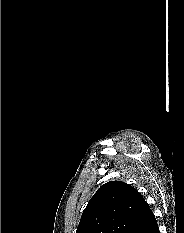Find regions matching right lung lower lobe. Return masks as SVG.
Instances as JSON below:
<instances>
[{
	"label": "right lung lower lobe",
	"instance_id": "1",
	"mask_svg": "<svg viewBox=\"0 0 184 233\" xmlns=\"http://www.w3.org/2000/svg\"><path fill=\"white\" fill-rule=\"evenodd\" d=\"M132 233H160L159 227L152 213L139 227H137Z\"/></svg>",
	"mask_w": 184,
	"mask_h": 233
}]
</instances>
